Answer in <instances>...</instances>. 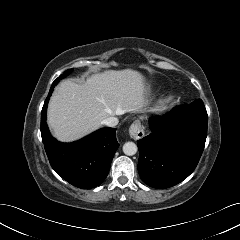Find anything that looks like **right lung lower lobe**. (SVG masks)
<instances>
[{
	"label": "right lung lower lobe",
	"mask_w": 240,
	"mask_h": 240,
	"mask_svg": "<svg viewBox=\"0 0 240 240\" xmlns=\"http://www.w3.org/2000/svg\"><path fill=\"white\" fill-rule=\"evenodd\" d=\"M51 87L41 112V136L52 168L73 186L90 189L108 175L113 156L119 147L115 128H101L73 143L55 140L47 127L46 111L53 92Z\"/></svg>",
	"instance_id": "right-lung-lower-lobe-1"
}]
</instances>
